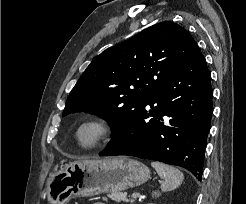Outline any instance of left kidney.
Instances as JSON below:
<instances>
[{
  "mask_svg": "<svg viewBox=\"0 0 246 204\" xmlns=\"http://www.w3.org/2000/svg\"><path fill=\"white\" fill-rule=\"evenodd\" d=\"M147 204H155V203H147Z\"/></svg>",
  "mask_w": 246,
  "mask_h": 204,
  "instance_id": "left-kidney-1",
  "label": "left kidney"
}]
</instances>
